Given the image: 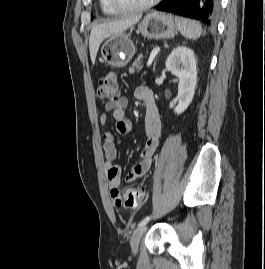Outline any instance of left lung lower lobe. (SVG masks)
I'll list each match as a JSON object with an SVG mask.
<instances>
[{
    "label": "left lung lower lobe",
    "mask_w": 265,
    "mask_h": 269,
    "mask_svg": "<svg viewBox=\"0 0 265 269\" xmlns=\"http://www.w3.org/2000/svg\"><path fill=\"white\" fill-rule=\"evenodd\" d=\"M220 0H166L157 10L175 13L211 25L218 16Z\"/></svg>",
    "instance_id": "1"
}]
</instances>
